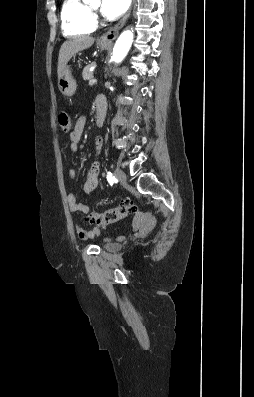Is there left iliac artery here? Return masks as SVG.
<instances>
[{
	"instance_id": "44dca946",
	"label": "left iliac artery",
	"mask_w": 254,
	"mask_h": 397,
	"mask_svg": "<svg viewBox=\"0 0 254 397\" xmlns=\"http://www.w3.org/2000/svg\"><path fill=\"white\" fill-rule=\"evenodd\" d=\"M107 180L108 182L112 185L114 182H116L115 177L111 172H107Z\"/></svg>"
}]
</instances>
